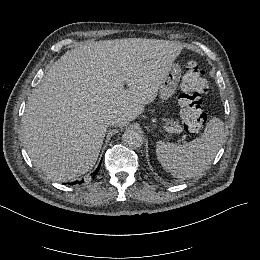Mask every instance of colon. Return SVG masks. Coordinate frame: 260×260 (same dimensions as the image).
Here are the masks:
<instances>
[{"mask_svg":"<svg viewBox=\"0 0 260 260\" xmlns=\"http://www.w3.org/2000/svg\"><path fill=\"white\" fill-rule=\"evenodd\" d=\"M180 115L183 127L188 132L202 128L207 122L203 109L204 95L208 90L207 71L195 61H188L180 81Z\"/></svg>","mask_w":260,"mask_h":260,"instance_id":"colon-1","label":"colon"}]
</instances>
